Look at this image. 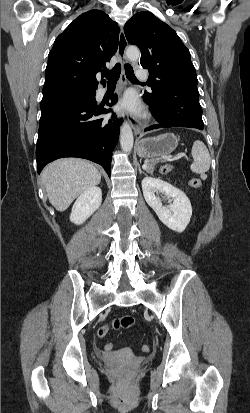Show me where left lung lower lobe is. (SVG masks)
Masks as SVG:
<instances>
[{"label":"left lung lower lobe","instance_id":"left-lung-lower-lobe-1","mask_svg":"<svg viewBox=\"0 0 250 413\" xmlns=\"http://www.w3.org/2000/svg\"><path fill=\"white\" fill-rule=\"evenodd\" d=\"M143 98L159 122L144 131L169 127L204 128L199 92L193 85L185 84L163 95L145 91Z\"/></svg>","mask_w":250,"mask_h":413}]
</instances>
